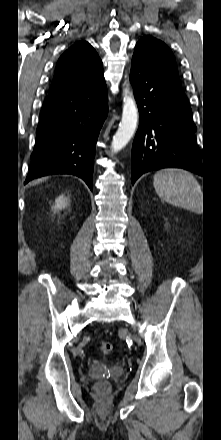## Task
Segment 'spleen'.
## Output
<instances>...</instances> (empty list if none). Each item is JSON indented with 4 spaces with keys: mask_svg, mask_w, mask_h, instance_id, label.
Wrapping results in <instances>:
<instances>
[{
    "mask_svg": "<svg viewBox=\"0 0 221 440\" xmlns=\"http://www.w3.org/2000/svg\"><path fill=\"white\" fill-rule=\"evenodd\" d=\"M153 185L159 197L167 203L201 213L202 188L190 172L162 169L154 175Z\"/></svg>",
    "mask_w": 221,
    "mask_h": 440,
    "instance_id": "obj_1",
    "label": "spleen"
}]
</instances>
